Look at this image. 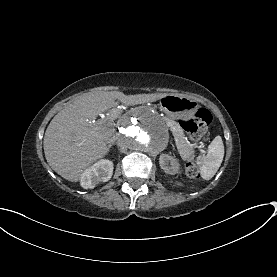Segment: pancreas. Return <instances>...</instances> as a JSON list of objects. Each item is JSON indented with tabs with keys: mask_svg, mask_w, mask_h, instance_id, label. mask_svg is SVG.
<instances>
[{
	"mask_svg": "<svg viewBox=\"0 0 277 277\" xmlns=\"http://www.w3.org/2000/svg\"><path fill=\"white\" fill-rule=\"evenodd\" d=\"M172 136L176 139L174 146L177 149H181V156L184 159H189L192 156V148L187 145L188 139L186 133L183 131V127L180 124H174L171 127Z\"/></svg>",
	"mask_w": 277,
	"mask_h": 277,
	"instance_id": "1",
	"label": "pancreas"
}]
</instances>
